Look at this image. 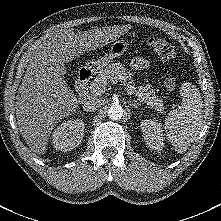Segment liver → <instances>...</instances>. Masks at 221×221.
I'll list each match as a JSON object with an SVG mask.
<instances>
[{
	"mask_svg": "<svg viewBox=\"0 0 221 221\" xmlns=\"http://www.w3.org/2000/svg\"><path fill=\"white\" fill-rule=\"evenodd\" d=\"M130 28L103 27L77 34L72 28L59 30L34 47L15 102L20 133L32 152L44 154L54 127L78 107L77 96L62 77L65 63L109 44Z\"/></svg>",
	"mask_w": 221,
	"mask_h": 221,
	"instance_id": "6515ba94",
	"label": "liver"
}]
</instances>
